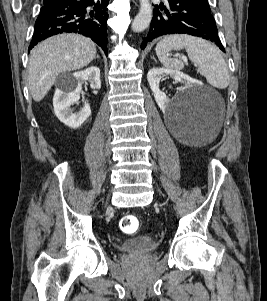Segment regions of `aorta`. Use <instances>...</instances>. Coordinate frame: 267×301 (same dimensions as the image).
<instances>
[{
	"label": "aorta",
	"instance_id": "762f6f07",
	"mask_svg": "<svg viewBox=\"0 0 267 301\" xmlns=\"http://www.w3.org/2000/svg\"><path fill=\"white\" fill-rule=\"evenodd\" d=\"M152 19V6L149 0H140V9L132 22V30L141 32L145 30Z\"/></svg>",
	"mask_w": 267,
	"mask_h": 301
}]
</instances>
